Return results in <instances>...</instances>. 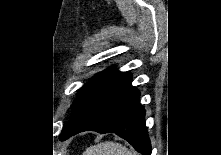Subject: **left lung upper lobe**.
<instances>
[{"instance_id":"obj_1","label":"left lung upper lobe","mask_w":221,"mask_h":155,"mask_svg":"<svg viewBox=\"0 0 221 155\" xmlns=\"http://www.w3.org/2000/svg\"><path fill=\"white\" fill-rule=\"evenodd\" d=\"M115 68H109L101 73H98L94 78H92L86 85H84L78 96V100L74 106L73 113H72V119L69 123V125L76 119V117L79 115L80 111L82 110L83 106L85 105L87 99L91 95V93L95 90V88L106 78L108 77L112 72H114ZM68 125V126H69Z\"/></svg>"}]
</instances>
